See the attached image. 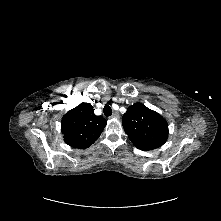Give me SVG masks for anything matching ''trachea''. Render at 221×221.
<instances>
[{"instance_id":"obj_1","label":"trachea","mask_w":221,"mask_h":221,"mask_svg":"<svg viewBox=\"0 0 221 221\" xmlns=\"http://www.w3.org/2000/svg\"><path fill=\"white\" fill-rule=\"evenodd\" d=\"M103 112H104V115L105 116H111L112 115V108L109 106V105H106L104 108H103Z\"/></svg>"}]
</instances>
